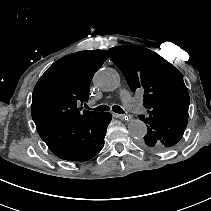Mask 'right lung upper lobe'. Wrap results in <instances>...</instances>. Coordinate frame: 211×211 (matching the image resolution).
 <instances>
[{
  "instance_id": "right-lung-upper-lobe-1",
  "label": "right lung upper lobe",
  "mask_w": 211,
  "mask_h": 211,
  "mask_svg": "<svg viewBox=\"0 0 211 211\" xmlns=\"http://www.w3.org/2000/svg\"><path fill=\"white\" fill-rule=\"evenodd\" d=\"M108 57L106 50H85L59 59L46 70L34 88L31 105L40 136L96 113L81 112L77 105L88 101L93 75Z\"/></svg>"
}]
</instances>
